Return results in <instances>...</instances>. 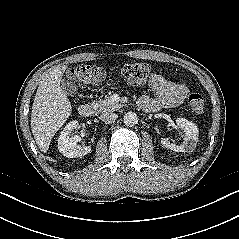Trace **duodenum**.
<instances>
[{
    "label": "duodenum",
    "mask_w": 239,
    "mask_h": 239,
    "mask_svg": "<svg viewBox=\"0 0 239 239\" xmlns=\"http://www.w3.org/2000/svg\"><path fill=\"white\" fill-rule=\"evenodd\" d=\"M79 114L84 118L91 117L94 112V107L91 104H83L79 107Z\"/></svg>",
    "instance_id": "duodenum-1"
}]
</instances>
